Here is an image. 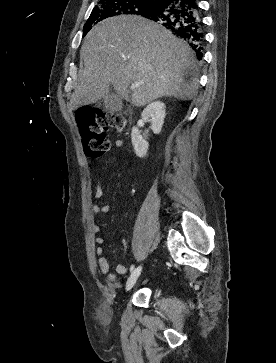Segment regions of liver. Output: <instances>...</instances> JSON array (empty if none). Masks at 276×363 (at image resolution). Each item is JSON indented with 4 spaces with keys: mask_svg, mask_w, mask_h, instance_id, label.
<instances>
[{
    "mask_svg": "<svg viewBox=\"0 0 276 363\" xmlns=\"http://www.w3.org/2000/svg\"><path fill=\"white\" fill-rule=\"evenodd\" d=\"M84 68L70 108L104 98L110 86L119 98L144 106L164 96L192 99L198 68L190 47L164 27L140 16H117L95 25L80 51ZM132 84H139L129 90Z\"/></svg>",
    "mask_w": 276,
    "mask_h": 363,
    "instance_id": "1",
    "label": "liver"
}]
</instances>
